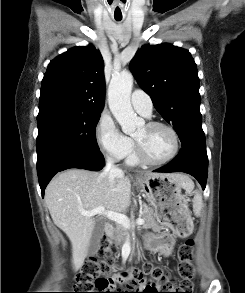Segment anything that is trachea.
I'll return each instance as SVG.
<instances>
[{
    "label": "trachea",
    "mask_w": 245,
    "mask_h": 293,
    "mask_svg": "<svg viewBox=\"0 0 245 293\" xmlns=\"http://www.w3.org/2000/svg\"><path fill=\"white\" fill-rule=\"evenodd\" d=\"M117 21H120L121 19H116Z\"/></svg>",
    "instance_id": "3493384b"
}]
</instances>
